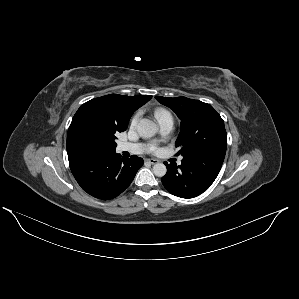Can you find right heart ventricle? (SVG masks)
Here are the masks:
<instances>
[{"label": "right heart ventricle", "instance_id": "right-heart-ventricle-1", "mask_svg": "<svg viewBox=\"0 0 299 299\" xmlns=\"http://www.w3.org/2000/svg\"><path fill=\"white\" fill-rule=\"evenodd\" d=\"M154 116H155V118L157 119L158 122H160L161 120L166 119V118H171L172 119L171 113L168 110L164 109V108H157L154 111Z\"/></svg>", "mask_w": 299, "mask_h": 299}]
</instances>
